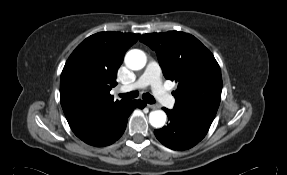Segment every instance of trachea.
<instances>
[{"instance_id":"3493384b","label":"trachea","mask_w":287,"mask_h":175,"mask_svg":"<svg viewBox=\"0 0 287 175\" xmlns=\"http://www.w3.org/2000/svg\"><path fill=\"white\" fill-rule=\"evenodd\" d=\"M119 96L121 98H123V99H133V98L138 97V92L132 91V92H129V93L120 94ZM143 100L146 101L148 104L155 103L154 97L151 94H149V93H144L143 94Z\"/></svg>"}]
</instances>
